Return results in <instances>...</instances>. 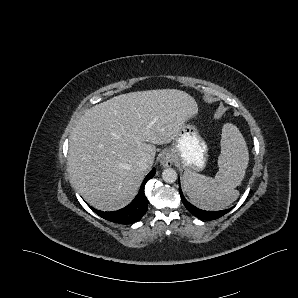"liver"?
Here are the masks:
<instances>
[{
    "instance_id": "6515ba94",
    "label": "liver",
    "mask_w": 298,
    "mask_h": 298,
    "mask_svg": "<svg viewBox=\"0 0 298 298\" xmlns=\"http://www.w3.org/2000/svg\"><path fill=\"white\" fill-rule=\"evenodd\" d=\"M198 111L187 91L160 88L116 95L89 108L70 137L72 180L89 205L103 212L128 206L138 193L147 157L155 144L169 143L183 122Z\"/></svg>"
}]
</instances>
